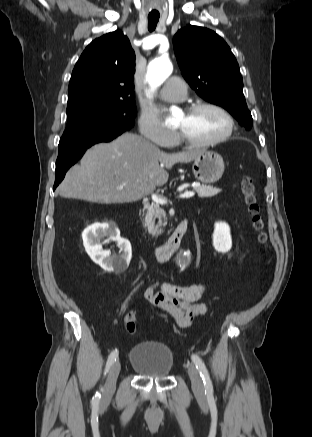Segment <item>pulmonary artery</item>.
I'll return each instance as SVG.
<instances>
[{"label":"pulmonary artery","mask_w":312,"mask_h":437,"mask_svg":"<svg viewBox=\"0 0 312 437\" xmlns=\"http://www.w3.org/2000/svg\"><path fill=\"white\" fill-rule=\"evenodd\" d=\"M160 95L166 101H183L187 96L186 83L178 77H171L165 82Z\"/></svg>","instance_id":"pulmonary-artery-1"}]
</instances>
